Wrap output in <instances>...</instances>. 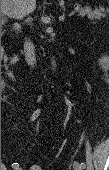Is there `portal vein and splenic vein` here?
<instances>
[{
  "mask_svg": "<svg viewBox=\"0 0 109 170\" xmlns=\"http://www.w3.org/2000/svg\"><path fill=\"white\" fill-rule=\"evenodd\" d=\"M1 12L4 15L15 17L14 14L12 12H10V10L7 9V8H2ZM73 15H74V12L69 13V16H73ZM18 18H21V17H18ZM59 20L63 21L64 20V16H60Z\"/></svg>",
  "mask_w": 109,
  "mask_h": 170,
  "instance_id": "obj_1",
  "label": "portal vein and splenic vein"
}]
</instances>
